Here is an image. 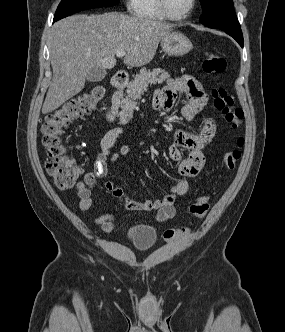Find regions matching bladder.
<instances>
[{
  "label": "bladder",
  "instance_id": "1",
  "mask_svg": "<svg viewBox=\"0 0 285 332\" xmlns=\"http://www.w3.org/2000/svg\"><path fill=\"white\" fill-rule=\"evenodd\" d=\"M103 228L110 232L116 229V219L108 217L103 222ZM129 240L140 251L152 248L157 241L156 231L148 225H137L130 229Z\"/></svg>",
  "mask_w": 285,
  "mask_h": 332
}]
</instances>
